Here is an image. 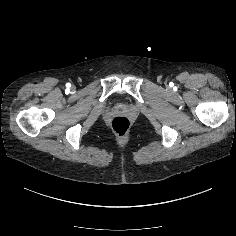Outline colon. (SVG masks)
Here are the masks:
<instances>
[{"mask_svg":"<svg viewBox=\"0 0 236 236\" xmlns=\"http://www.w3.org/2000/svg\"><path fill=\"white\" fill-rule=\"evenodd\" d=\"M111 128L118 136H124L130 129V121L126 117H115L111 122Z\"/></svg>","mask_w":236,"mask_h":236,"instance_id":"obj_1","label":"colon"}]
</instances>
